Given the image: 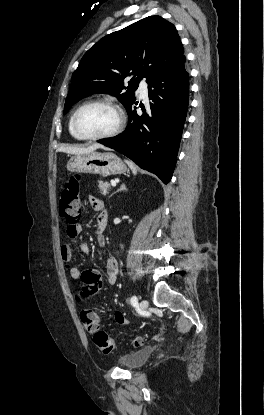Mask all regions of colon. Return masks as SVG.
<instances>
[{
  "label": "colon",
  "instance_id": "colon-1",
  "mask_svg": "<svg viewBox=\"0 0 264 415\" xmlns=\"http://www.w3.org/2000/svg\"><path fill=\"white\" fill-rule=\"evenodd\" d=\"M81 178L78 174L71 176L64 184V190L60 200V216L64 220L65 233L73 237L78 230V221L81 213V201L79 198ZM82 286L75 291L76 301L85 303L102 283L98 271L87 270L81 275ZM84 326L88 332L94 333V341L104 354H113L116 350L114 340L110 335L100 329V320L95 311L86 309L82 311ZM142 339L134 341L135 346H141Z\"/></svg>",
  "mask_w": 264,
  "mask_h": 415
}]
</instances>
